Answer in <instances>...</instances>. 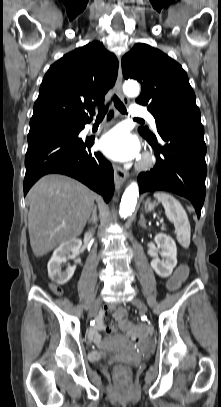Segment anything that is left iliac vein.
Segmentation results:
<instances>
[{
	"mask_svg": "<svg viewBox=\"0 0 221 407\" xmlns=\"http://www.w3.org/2000/svg\"><path fill=\"white\" fill-rule=\"evenodd\" d=\"M132 304L135 305L142 312H144V313L147 312V307H146L145 303L142 300H140L139 298H134L132 300Z\"/></svg>",
	"mask_w": 221,
	"mask_h": 407,
	"instance_id": "1",
	"label": "left iliac vein"
}]
</instances>
